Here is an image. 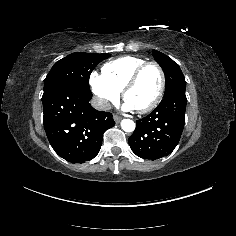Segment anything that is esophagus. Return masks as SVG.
<instances>
[{"instance_id":"34e87169","label":"esophagus","mask_w":236,"mask_h":236,"mask_svg":"<svg viewBox=\"0 0 236 236\" xmlns=\"http://www.w3.org/2000/svg\"><path fill=\"white\" fill-rule=\"evenodd\" d=\"M113 119H114V121H115L116 123H119V122L121 121L122 117H120V116H118V115H114V116H113Z\"/></svg>"}]
</instances>
